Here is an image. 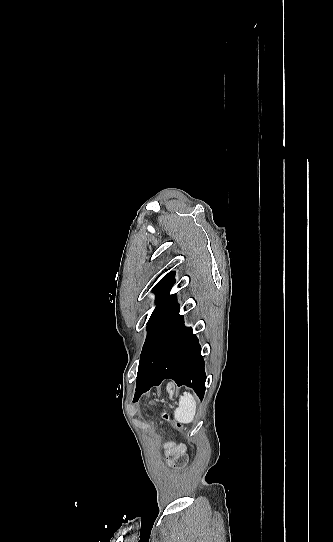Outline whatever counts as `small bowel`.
<instances>
[{
  "label": "small bowel",
  "instance_id": "small-bowel-1",
  "mask_svg": "<svg viewBox=\"0 0 333 542\" xmlns=\"http://www.w3.org/2000/svg\"><path fill=\"white\" fill-rule=\"evenodd\" d=\"M164 447L168 450L169 454L173 456L183 455L186 451L185 445L176 442H166L164 443Z\"/></svg>",
  "mask_w": 333,
  "mask_h": 542
}]
</instances>
